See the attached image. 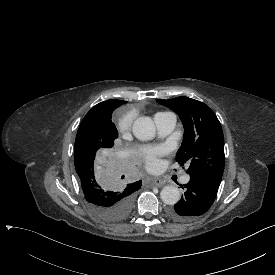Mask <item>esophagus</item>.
<instances>
[{
	"label": "esophagus",
	"mask_w": 275,
	"mask_h": 275,
	"mask_svg": "<svg viewBox=\"0 0 275 275\" xmlns=\"http://www.w3.org/2000/svg\"><path fill=\"white\" fill-rule=\"evenodd\" d=\"M163 183H164L163 180H161V179H159V178H156V179H154V181H153V185L156 186V187L162 186Z\"/></svg>",
	"instance_id": "34e87169"
}]
</instances>
